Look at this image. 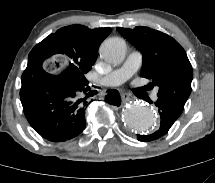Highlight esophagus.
I'll use <instances>...</instances> for the list:
<instances>
[{
    "mask_svg": "<svg viewBox=\"0 0 215 183\" xmlns=\"http://www.w3.org/2000/svg\"><path fill=\"white\" fill-rule=\"evenodd\" d=\"M131 99H132V97L129 94H127V93L122 94V101L124 103L129 102Z\"/></svg>",
    "mask_w": 215,
    "mask_h": 183,
    "instance_id": "1",
    "label": "esophagus"
}]
</instances>
